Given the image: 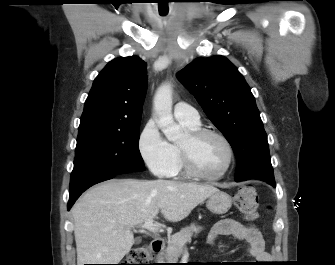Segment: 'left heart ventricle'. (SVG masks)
<instances>
[{"instance_id":"b2bd125f","label":"left heart ventricle","mask_w":335,"mask_h":265,"mask_svg":"<svg viewBox=\"0 0 335 265\" xmlns=\"http://www.w3.org/2000/svg\"><path fill=\"white\" fill-rule=\"evenodd\" d=\"M180 144L188 145V136ZM193 162L198 170L207 175L219 173L227 162L225 145L216 137L208 136L190 145Z\"/></svg>"}]
</instances>
